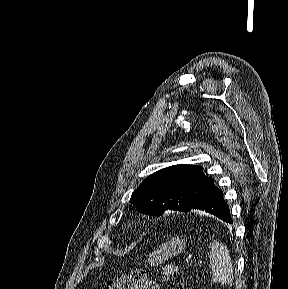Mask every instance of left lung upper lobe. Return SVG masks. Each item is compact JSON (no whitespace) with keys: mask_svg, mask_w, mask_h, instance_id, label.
<instances>
[{"mask_svg":"<svg viewBox=\"0 0 288 289\" xmlns=\"http://www.w3.org/2000/svg\"><path fill=\"white\" fill-rule=\"evenodd\" d=\"M213 185L201 166L173 165L148 176L130 202L146 215L161 216L166 210L188 212Z\"/></svg>","mask_w":288,"mask_h":289,"instance_id":"1","label":"left lung upper lobe"}]
</instances>
